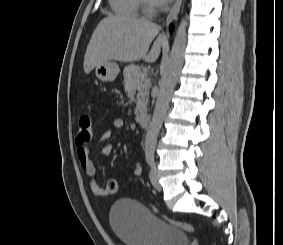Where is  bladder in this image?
I'll return each instance as SVG.
<instances>
[{"label": "bladder", "mask_w": 283, "mask_h": 245, "mask_svg": "<svg viewBox=\"0 0 283 245\" xmlns=\"http://www.w3.org/2000/svg\"><path fill=\"white\" fill-rule=\"evenodd\" d=\"M109 219L112 229L126 245H189V237L183 231L132 199L116 201Z\"/></svg>", "instance_id": "obj_1"}]
</instances>
